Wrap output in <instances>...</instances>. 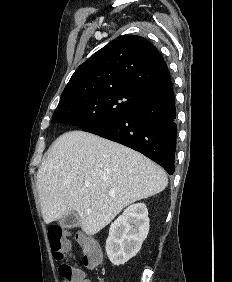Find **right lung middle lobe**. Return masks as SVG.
<instances>
[{"label": "right lung middle lobe", "instance_id": "obj_1", "mask_svg": "<svg viewBox=\"0 0 232 282\" xmlns=\"http://www.w3.org/2000/svg\"><path fill=\"white\" fill-rule=\"evenodd\" d=\"M146 98L127 89H110L79 95L59 102L51 123L76 125L81 129L110 122L136 110Z\"/></svg>", "mask_w": 232, "mask_h": 282}]
</instances>
